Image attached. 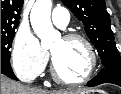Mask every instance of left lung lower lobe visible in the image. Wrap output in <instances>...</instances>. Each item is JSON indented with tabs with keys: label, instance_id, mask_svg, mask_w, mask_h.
<instances>
[{
	"label": "left lung lower lobe",
	"instance_id": "left-lung-lower-lobe-1",
	"mask_svg": "<svg viewBox=\"0 0 121 94\" xmlns=\"http://www.w3.org/2000/svg\"><path fill=\"white\" fill-rule=\"evenodd\" d=\"M103 83L121 86V67H105L86 86L94 87Z\"/></svg>",
	"mask_w": 121,
	"mask_h": 94
}]
</instances>
